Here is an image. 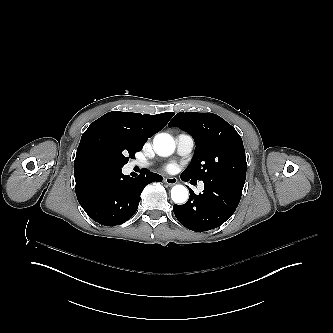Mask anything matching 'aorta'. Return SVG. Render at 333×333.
<instances>
[{
  "label": "aorta",
  "mask_w": 333,
  "mask_h": 333,
  "mask_svg": "<svg viewBox=\"0 0 333 333\" xmlns=\"http://www.w3.org/2000/svg\"><path fill=\"white\" fill-rule=\"evenodd\" d=\"M154 150L162 157L170 156L175 150V142L171 135L158 133L153 139ZM171 198L175 203H184L188 199V190L184 185L177 184L171 188Z\"/></svg>",
  "instance_id": "1"
}]
</instances>
